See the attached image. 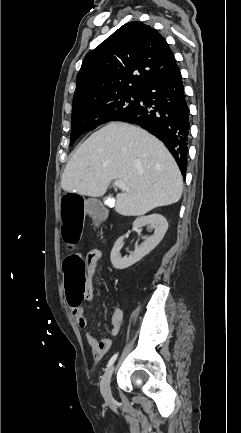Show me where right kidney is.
I'll return each instance as SVG.
<instances>
[{
	"label": "right kidney",
	"mask_w": 241,
	"mask_h": 433,
	"mask_svg": "<svg viewBox=\"0 0 241 433\" xmlns=\"http://www.w3.org/2000/svg\"><path fill=\"white\" fill-rule=\"evenodd\" d=\"M146 225L149 229L155 230L153 235L146 238L145 241L140 246H137L134 252H132L128 257H122L120 254L124 237L117 239L110 256L111 263L115 269L123 270L140 261L159 244L168 229V222L161 214L142 216L133 222V227L137 230Z\"/></svg>",
	"instance_id": "right-kidney-1"
}]
</instances>
